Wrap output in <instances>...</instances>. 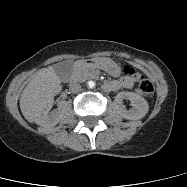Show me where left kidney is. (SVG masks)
Returning a JSON list of instances; mask_svg holds the SVG:
<instances>
[{
  "label": "left kidney",
  "mask_w": 187,
  "mask_h": 187,
  "mask_svg": "<svg viewBox=\"0 0 187 187\" xmlns=\"http://www.w3.org/2000/svg\"><path fill=\"white\" fill-rule=\"evenodd\" d=\"M128 99L131 101L133 108L131 110H125L122 106V100ZM114 105L119 115L128 120H137L143 118L149 109L147 101L140 95L123 91L116 95Z\"/></svg>",
  "instance_id": "1"
}]
</instances>
